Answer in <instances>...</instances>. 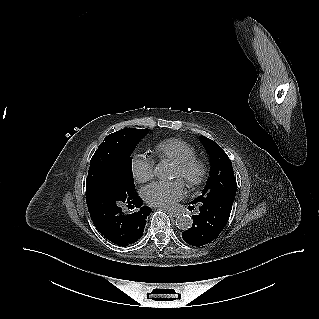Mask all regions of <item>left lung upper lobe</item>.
Segmentation results:
<instances>
[{
  "instance_id": "1",
  "label": "left lung upper lobe",
  "mask_w": 319,
  "mask_h": 319,
  "mask_svg": "<svg viewBox=\"0 0 319 319\" xmlns=\"http://www.w3.org/2000/svg\"><path fill=\"white\" fill-rule=\"evenodd\" d=\"M201 141L210 156L211 168L202 195L192 201L194 204L221 195L235 194L237 190L236 178L229 157L213 140L201 136Z\"/></svg>"
}]
</instances>
